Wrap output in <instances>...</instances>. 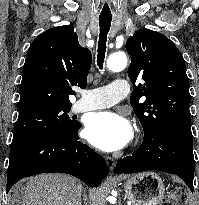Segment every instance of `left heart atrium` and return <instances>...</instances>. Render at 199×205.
<instances>
[{"instance_id": "1", "label": "left heart atrium", "mask_w": 199, "mask_h": 205, "mask_svg": "<svg viewBox=\"0 0 199 205\" xmlns=\"http://www.w3.org/2000/svg\"><path fill=\"white\" fill-rule=\"evenodd\" d=\"M84 135L95 147L104 151H116L129 142L132 127L121 114L103 111L89 116Z\"/></svg>"}]
</instances>
